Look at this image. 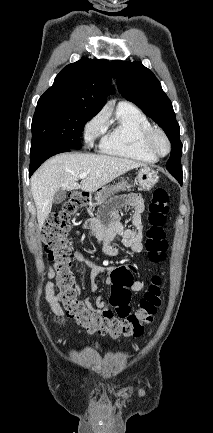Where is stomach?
Wrapping results in <instances>:
<instances>
[{
	"instance_id": "1",
	"label": "stomach",
	"mask_w": 213,
	"mask_h": 433,
	"mask_svg": "<svg viewBox=\"0 0 213 433\" xmlns=\"http://www.w3.org/2000/svg\"><path fill=\"white\" fill-rule=\"evenodd\" d=\"M158 175L157 173L149 168L144 167L138 171L137 175V182L139 185V189L142 191H149L153 188V186L158 182ZM129 184L127 181L122 180L115 186L111 187H102L100 189H97L94 192L89 193V204L91 206H98L103 205L107 203V200L111 195L114 194V192L118 190H125L128 188Z\"/></svg>"
}]
</instances>
